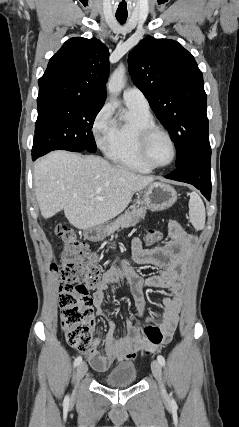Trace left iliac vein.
Here are the masks:
<instances>
[{
    "instance_id": "4c4485c4",
    "label": "left iliac vein",
    "mask_w": 239,
    "mask_h": 427,
    "mask_svg": "<svg viewBox=\"0 0 239 427\" xmlns=\"http://www.w3.org/2000/svg\"><path fill=\"white\" fill-rule=\"evenodd\" d=\"M151 369H152V373L154 375V377L156 378V380L158 381L159 385H160V390L162 395L166 396V389L164 387V383L162 380V368H161V364L157 361L154 360L151 364Z\"/></svg>"
}]
</instances>
